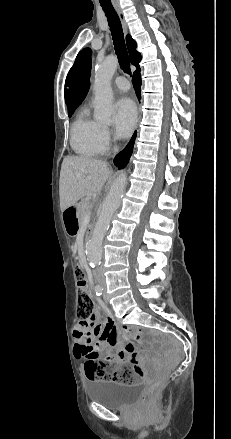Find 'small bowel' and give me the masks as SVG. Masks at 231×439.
Returning a JSON list of instances; mask_svg holds the SVG:
<instances>
[{"instance_id":"1","label":"small bowel","mask_w":231,"mask_h":439,"mask_svg":"<svg viewBox=\"0 0 231 439\" xmlns=\"http://www.w3.org/2000/svg\"><path fill=\"white\" fill-rule=\"evenodd\" d=\"M89 294H92V285L89 283L86 287ZM101 314L96 311L90 321L78 322L73 328L75 339L74 355L78 359H87L89 353L95 357H102L105 360H114L119 365L131 364L140 367L143 371L145 360L148 355L137 352L136 345L128 342L125 344L118 343L121 334L112 324L110 314H107L106 321L99 323ZM93 332V335L91 334ZM139 342L140 338L134 336Z\"/></svg>"}]
</instances>
